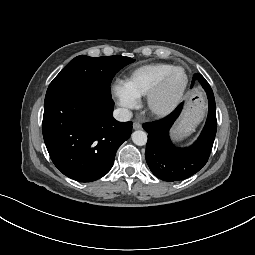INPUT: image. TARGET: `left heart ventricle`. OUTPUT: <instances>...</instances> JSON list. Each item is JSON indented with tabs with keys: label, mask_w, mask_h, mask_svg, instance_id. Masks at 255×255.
Returning a JSON list of instances; mask_svg holds the SVG:
<instances>
[{
	"label": "left heart ventricle",
	"mask_w": 255,
	"mask_h": 255,
	"mask_svg": "<svg viewBox=\"0 0 255 255\" xmlns=\"http://www.w3.org/2000/svg\"><path fill=\"white\" fill-rule=\"evenodd\" d=\"M184 82V74L181 71L175 72L170 78L164 95L161 98V102H167L173 94L181 87Z\"/></svg>",
	"instance_id": "b2bd125f"
}]
</instances>
